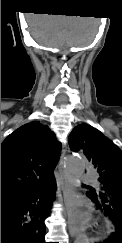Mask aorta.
Segmentation results:
<instances>
[{
    "label": "aorta",
    "instance_id": "aorta-1",
    "mask_svg": "<svg viewBox=\"0 0 122 243\" xmlns=\"http://www.w3.org/2000/svg\"><path fill=\"white\" fill-rule=\"evenodd\" d=\"M85 169L84 162L78 157H69L65 162V172L69 183L73 187L80 185V180ZM74 243H89V238L85 233H79Z\"/></svg>",
    "mask_w": 122,
    "mask_h": 243
}]
</instances>
